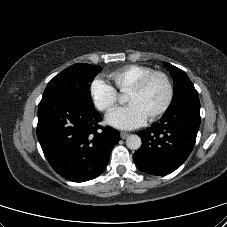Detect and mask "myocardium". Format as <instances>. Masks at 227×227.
<instances>
[{"mask_svg":"<svg viewBox=\"0 0 227 227\" xmlns=\"http://www.w3.org/2000/svg\"><path fill=\"white\" fill-rule=\"evenodd\" d=\"M154 77H161L165 81L166 87H167V97H166L164 104L157 111H155L148 117L149 120H151V121L156 120L159 117H161L162 115H164L167 112V110L170 108V106L173 102L174 85H173V82H172V79L170 78V76L164 71L153 70L152 72L141 77L128 90V92L129 91H133V92L141 91L142 89H144L146 87V85Z\"/></svg>","mask_w":227,"mask_h":227,"instance_id":"1","label":"myocardium"}]
</instances>
